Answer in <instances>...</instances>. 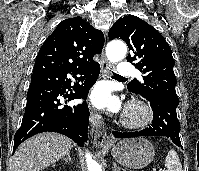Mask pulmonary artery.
I'll list each match as a JSON object with an SVG mask.
<instances>
[{
	"label": "pulmonary artery",
	"mask_w": 199,
	"mask_h": 171,
	"mask_svg": "<svg viewBox=\"0 0 199 171\" xmlns=\"http://www.w3.org/2000/svg\"><path fill=\"white\" fill-rule=\"evenodd\" d=\"M118 74L122 76H131L135 73V67L127 62H121L117 68Z\"/></svg>",
	"instance_id": "pulmonary-artery-1"
}]
</instances>
